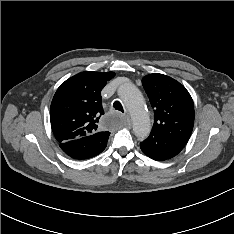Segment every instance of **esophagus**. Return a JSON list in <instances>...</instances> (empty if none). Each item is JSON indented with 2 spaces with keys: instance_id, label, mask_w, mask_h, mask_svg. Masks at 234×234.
Returning a JSON list of instances; mask_svg holds the SVG:
<instances>
[{
  "instance_id": "34e87169",
  "label": "esophagus",
  "mask_w": 234,
  "mask_h": 234,
  "mask_svg": "<svg viewBox=\"0 0 234 234\" xmlns=\"http://www.w3.org/2000/svg\"><path fill=\"white\" fill-rule=\"evenodd\" d=\"M125 120H126L128 125L131 124V120H130V117L128 115H125Z\"/></svg>"
}]
</instances>
